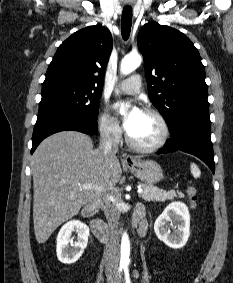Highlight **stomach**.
<instances>
[{
    "instance_id": "obj_1",
    "label": "stomach",
    "mask_w": 233,
    "mask_h": 283,
    "mask_svg": "<svg viewBox=\"0 0 233 283\" xmlns=\"http://www.w3.org/2000/svg\"><path fill=\"white\" fill-rule=\"evenodd\" d=\"M127 167L139 180L147 185H154L163 178L160 165L152 160H136Z\"/></svg>"
}]
</instances>
